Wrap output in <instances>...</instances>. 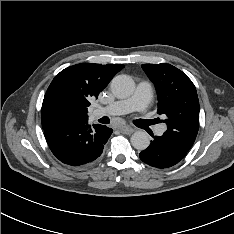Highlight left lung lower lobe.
Listing matches in <instances>:
<instances>
[{
  "mask_svg": "<svg viewBox=\"0 0 234 234\" xmlns=\"http://www.w3.org/2000/svg\"><path fill=\"white\" fill-rule=\"evenodd\" d=\"M149 147L139 154L146 164L156 168H168L181 161L189 150L185 149L167 134L153 136Z\"/></svg>",
  "mask_w": 234,
  "mask_h": 234,
  "instance_id": "1",
  "label": "left lung lower lobe"
}]
</instances>
